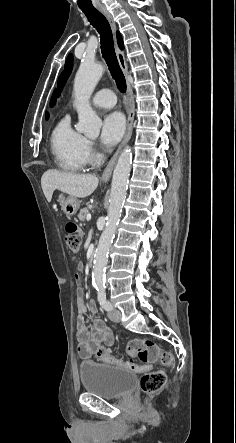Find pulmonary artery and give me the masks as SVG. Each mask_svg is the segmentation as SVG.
Wrapping results in <instances>:
<instances>
[{"instance_id":"obj_1","label":"pulmonary artery","mask_w":236,"mask_h":443,"mask_svg":"<svg viewBox=\"0 0 236 443\" xmlns=\"http://www.w3.org/2000/svg\"><path fill=\"white\" fill-rule=\"evenodd\" d=\"M92 103L98 107L110 108L116 104V96L113 91L102 89L93 96Z\"/></svg>"}]
</instances>
